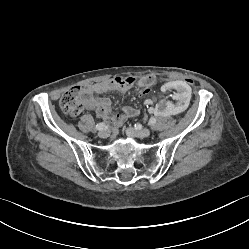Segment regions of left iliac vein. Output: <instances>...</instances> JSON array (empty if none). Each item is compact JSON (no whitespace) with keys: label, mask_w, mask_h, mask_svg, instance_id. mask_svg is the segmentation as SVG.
Wrapping results in <instances>:
<instances>
[{"label":"left iliac vein","mask_w":249,"mask_h":249,"mask_svg":"<svg viewBox=\"0 0 249 249\" xmlns=\"http://www.w3.org/2000/svg\"><path fill=\"white\" fill-rule=\"evenodd\" d=\"M151 131L148 128H143L140 130H135L131 127L126 129V134L131 137L146 138L150 135Z\"/></svg>","instance_id":"4c4485c4"}]
</instances>
